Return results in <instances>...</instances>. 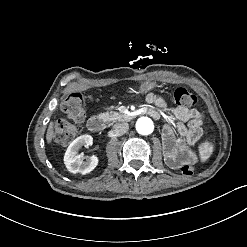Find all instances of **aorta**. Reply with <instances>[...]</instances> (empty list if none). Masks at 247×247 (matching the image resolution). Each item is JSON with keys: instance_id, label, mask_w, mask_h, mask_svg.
<instances>
[{"instance_id": "1", "label": "aorta", "mask_w": 247, "mask_h": 247, "mask_svg": "<svg viewBox=\"0 0 247 247\" xmlns=\"http://www.w3.org/2000/svg\"><path fill=\"white\" fill-rule=\"evenodd\" d=\"M136 129L141 135H149L154 130L153 121L148 117H141L137 120Z\"/></svg>"}]
</instances>
